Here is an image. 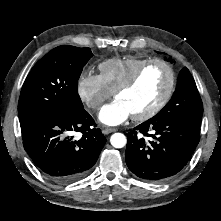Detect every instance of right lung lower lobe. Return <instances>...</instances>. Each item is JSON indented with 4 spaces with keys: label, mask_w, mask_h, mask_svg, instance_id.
I'll return each instance as SVG.
<instances>
[{
    "label": "right lung lower lobe",
    "mask_w": 221,
    "mask_h": 221,
    "mask_svg": "<svg viewBox=\"0 0 221 221\" xmlns=\"http://www.w3.org/2000/svg\"><path fill=\"white\" fill-rule=\"evenodd\" d=\"M74 132L82 137L70 136ZM21 133L23 146L38 170L59 183L86 175L106 143L101 129L84 109L32 121L21 126Z\"/></svg>",
    "instance_id": "98d812e1"
}]
</instances>
